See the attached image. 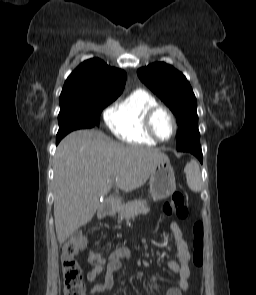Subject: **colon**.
I'll use <instances>...</instances> for the list:
<instances>
[{"label":"colon","mask_w":256,"mask_h":295,"mask_svg":"<svg viewBox=\"0 0 256 295\" xmlns=\"http://www.w3.org/2000/svg\"><path fill=\"white\" fill-rule=\"evenodd\" d=\"M163 216L165 219L175 217L186 219L189 217V210L184 202L181 192H174L169 201L164 204ZM204 227L201 221L193 225V263L200 266L203 263L204 248ZM87 240L83 233L77 232L70 237L61 249V269L65 295H84V282L82 269L78 263L77 256L86 247ZM101 261L99 254H92L90 262L97 264Z\"/></svg>","instance_id":"obj_1"}]
</instances>
